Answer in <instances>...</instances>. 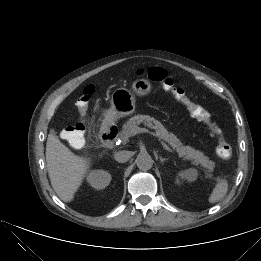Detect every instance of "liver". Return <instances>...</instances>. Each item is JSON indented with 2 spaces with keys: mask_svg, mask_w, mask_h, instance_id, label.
Instances as JSON below:
<instances>
[{
  "mask_svg": "<svg viewBox=\"0 0 261 261\" xmlns=\"http://www.w3.org/2000/svg\"><path fill=\"white\" fill-rule=\"evenodd\" d=\"M46 162L54 191L62 201L71 202L90 167V161L75 155L57 136L49 134Z\"/></svg>",
  "mask_w": 261,
  "mask_h": 261,
  "instance_id": "obj_1",
  "label": "liver"
}]
</instances>
